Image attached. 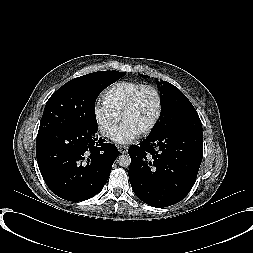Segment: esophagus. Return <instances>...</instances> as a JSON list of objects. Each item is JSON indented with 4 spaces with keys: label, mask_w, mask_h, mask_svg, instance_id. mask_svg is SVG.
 I'll return each instance as SVG.
<instances>
[{
    "label": "esophagus",
    "mask_w": 253,
    "mask_h": 253,
    "mask_svg": "<svg viewBox=\"0 0 253 253\" xmlns=\"http://www.w3.org/2000/svg\"><path fill=\"white\" fill-rule=\"evenodd\" d=\"M118 150L121 154H126L128 151V147L126 146H118Z\"/></svg>",
    "instance_id": "1"
}]
</instances>
